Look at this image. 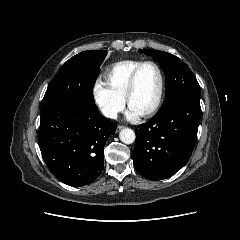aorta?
<instances>
[{"mask_svg":"<svg viewBox=\"0 0 240 240\" xmlns=\"http://www.w3.org/2000/svg\"><path fill=\"white\" fill-rule=\"evenodd\" d=\"M119 138L125 144H132L135 141V132L130 128H123L119 133Z\"/></svg>","mask_w":240,"mask_h":240,"instance_id":"762f6f07","label":"aorta"}]
</instances>
